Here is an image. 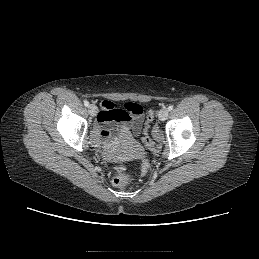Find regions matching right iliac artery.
Segmentation results:
<instances>
[{"mask_svg": "<svg viewBox=\"0 0 259 259\" xmlns=\"http://www.w3.org/2000/svg\"><path fill=\"white\" fill-rule=\"evenodd\" d=\"M84 105L86 106V107H88L89 106V102L86 100V101H84Z\"/></svg>", "mask_w": 259, "mask_h": 259, "instance_id": "obj_1", "label": "right iliac artery"}]
</instances>
